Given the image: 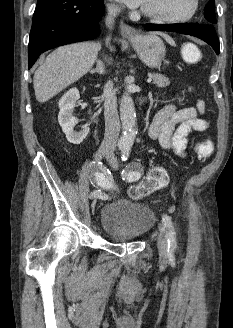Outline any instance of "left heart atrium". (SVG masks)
<instances>
[{
  "label": "left heart atrium",
  "mask_w": 233,
  "mask_h": 328,
  "mask_svg": "<svg viewBox=\"0 0 233 328\" xmlns=\"http://www.w3.org/2000/svg\"><path fill=\"white\" fill-rule=\"evenodd\" d=\"M130 8H137L143 6L145 0H120Z\"/></svg>",
  "instance_id": "39dd6f15"
}]
</instances>
